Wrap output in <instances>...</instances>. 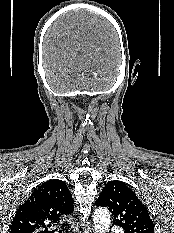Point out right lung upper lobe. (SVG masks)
I'll return each mask as SVG.
<instances>
[{
	"instance_id": "obj_1",
	"label": "right lung upper lobe",
	"mask_w": 174,
	"mask_h": 233,
	"mask_svg": "<svg viewBox=\"0 0 174 233\" xmlns=\"http://www.w3.org/2000/svg\"><path fill=\"white\" fill-rule=\"evenodd\" d=\"M73 210L74 201L66 183L48 180L19 207L10 233H54L48 231V227L60 222L62 215H69Z\"/></svg>"
}]
</instances>
